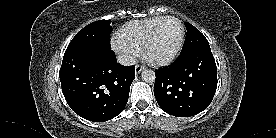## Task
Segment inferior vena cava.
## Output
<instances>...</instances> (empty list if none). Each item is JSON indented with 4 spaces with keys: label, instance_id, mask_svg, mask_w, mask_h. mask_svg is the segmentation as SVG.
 Returning a JSON list of instances; mask_svg holds the SVG:
<instances>
[{
    "label": "inferior vena cava",
    "instance_id": "602c4592",
    "mask_svg": "<svg viewBox=\"0 0 276 138\" xmlns=\"http://www.w3.org/2000/svg\"><path fill=\"white\" fill-rule=\"evenodd\" d=\"M118 62L125 66H131L136 63V58L132 55L122 54L117 58Z\"/></svg>",
    "mask_w": 276,
    "mask_h": 138
}]
</instances>
